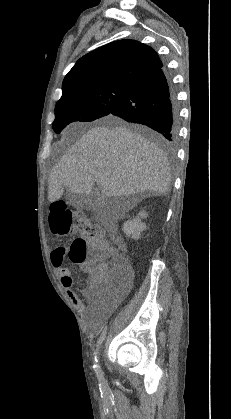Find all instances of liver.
I'll use <instances>...</instances> for the list:
<instances>
[{
    "label": "liver",
    "instance_id": "1",
    "mask_svg": "<svg viewBox=\"0 0 231 419\" xmlns=\"http://www.w3.org/2000/svg\"><path fill=\"white\" fill-rule=\"evenodd\" d=\"M115 122L118 125L113 128L89 129L56 164L48 180L50 202L58 200L64 188L73 194L89 195L95 182L105 197L167 193L171 173L163 151Z\"/></svg>",
    "mask_w": 231,
    "mask_h": 419
}]
</instances>
